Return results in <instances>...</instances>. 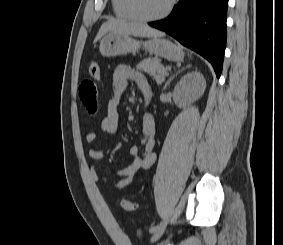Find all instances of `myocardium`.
Returning <instances> with one entry per match:
<instances>
[{
  "label": "myocardium",
  "mask_w": 283,
  "mask_h": 245,
  "mask_svg": "<svg viewBox=\"0 0 283 245\" xmlns=\"http://www.w3.org/2000/svg\"><path fill=\"white\" fill-rule=\"evenodd\" d=\"M175 2L176 0H169L165 9L161 13L155 16L142 15L136 7V0H127V7L131 15L136 20H139L142 22H154V21H158V20H161L167 17L170 14L171 10L173 9Z\"/></svg>",
  "instance_id": "obj_1"
}]
</instances>
